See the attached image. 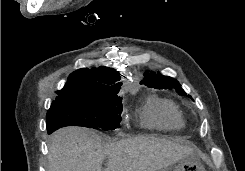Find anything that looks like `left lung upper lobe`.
<instances>
[{
	"label": "left lung upper lobe",
	"mask_w": 245,
	"mask_h": 171,
	"mask_svg": "<svg viewBox=\"0 0 245 171\" xmlns=\"http://www.w3.org/2000/svg\"><path fill=\"white\" fill-rule=\"evenodd\" d=\"M144 76L145 78L141 81V84H145L147 87L155 89H176V92L179 95H186L185 91L181 88V85L176 81V79L163 76L160 73L155 74L154 72H150L149 74L146 72Z\"/></svg>",
	"instance_id": "5c2ea615"
}]
</instances>
